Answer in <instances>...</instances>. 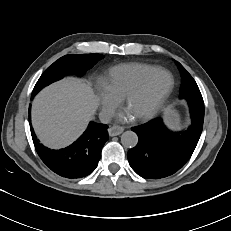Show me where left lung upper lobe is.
<instances>
[{
	"label": "left lung upper lobe",
	"instance_id": "left-lung-upper-lobe-1",
	"mask_svg": "<svg viewBox=\"0 0 231 231\" xmlns=\"http://www.w3.org/2000/svg\"><path fill=\"white\" fill-rule=\"evenodd\" d=\"M177 65L183 77L181 98L188 101L190 112L197 111L199 113H204L203 98L195 80L179 62H177Z\"/></svg>",
	"mask_w": 231,
	"mask_h": 231
}]
</instances>
